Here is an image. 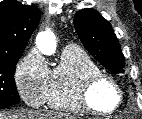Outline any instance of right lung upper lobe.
Instances as JSON below:
<instances>
[{
	"instance_id": "right-lung-upper-lobe-1",
	"label": "right lung upper lobe",
	"mask_w": 142,
	"mask_h": 119,
	"mask_svg": "<svg viewBox=\"0 0 142 119\" xmlns=\"http://www.w3.org/2000/svg\"><path fill=\"white\" fill-rule=\"evenodd\" d=\"M40 20L36 6L16 0L0 3V57L22 54Z\"/></svg>"
}]
</instances>
